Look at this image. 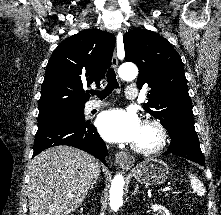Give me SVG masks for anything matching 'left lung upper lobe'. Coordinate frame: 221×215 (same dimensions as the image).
<instances>
[{"mask_svg":"<svg viewBox=\"0 0 221 215\" xmlns=\"http://www.w3.org/2000/svg\"><path fill=\"white\" fill-rule=\"evenodd\" d=\"M125 60L139 68L137 87L148 84L144 109L167 129L194 128L191 98L181 57L165 38L142 29L123 36Z\"/></svg>","mask_w":221,"mask_h":215,"instance_id":"5c2ea615","label":"left lung upper lobe"}]
</instances>
